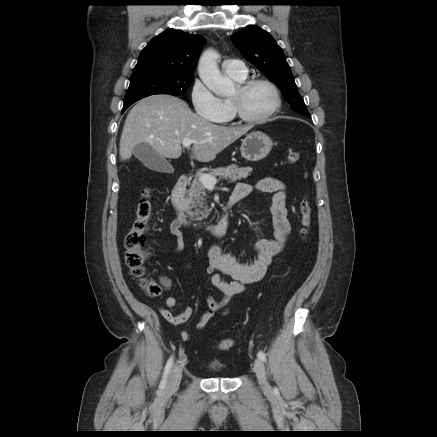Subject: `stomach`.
I'll return each instance as SVG.
<instances>
[{
	"mask_svg": "<svg viewBox=\"0 0 437 437\" xmlns=\"http://www.w3.org/2000/svg\"><path fill=\"white\" fill-rule=\"evenodd\" d=\"M272 146V140L265 133L251 132L242 140L241 155L246 160L259 161L270 153Z\"/></svg>",
	"mask_w": 437,
	"mask_h": 437,
	"instance_id": "1",
	"label": "stomach"
}]
</instances>
